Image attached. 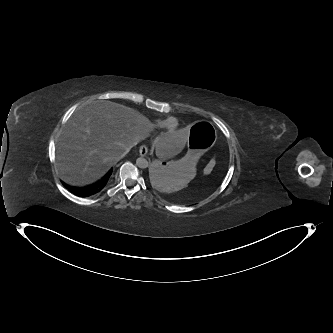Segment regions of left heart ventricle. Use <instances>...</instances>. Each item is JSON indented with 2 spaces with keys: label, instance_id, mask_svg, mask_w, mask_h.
<instances>
[{
  "label": "left heart ventricle",
  "instance_id": "left-heart-ventricle-1",
  "mask_svg": "<svg viewBox=\"0 0 333 333\" xmlns=\"http://www.w3.org/2000/svg\"><path fill=\"white\" fill-rule=\"evenodd\" d=\"M171 126H174V123H171Z\"/></svg>",
  "mask_w": 333,
  "mask_h": 333
}]
</instances>
